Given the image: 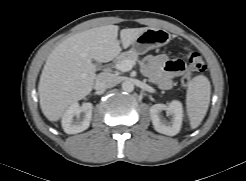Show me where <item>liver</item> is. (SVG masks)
Masks as SVG:
<instances>
[{"label":"liver","mask_w":246,"mask_h":181,"mask_svg":"<svg viewBox=\"0 0 246 181\" xmlns=\"http://www.w3.org/2000/svg\"><path fill=\"white\" fill-rule=\"evenodd\" d=\"M119 27L105 25L86 30L62 41L49 55L38 85L40 107L50 121L59 120L73 103L85 98L96 79L93 60L108 62L121 52ZM148 27L120 31L124 49Z\"/></svg>","instance_id":"liver-1"}]
</instances>
